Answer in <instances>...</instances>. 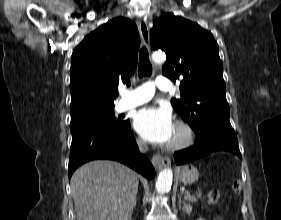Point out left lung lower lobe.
Instances as JSON below:
<instances>
[{"label": "left lung lower lobe", "instance_id": "0a47b994", "mask_svg": "<svg viewBox=\"0 0 281 220\" xmlns=\"http://www.w3.org/2000/svg\"><path fill=\"white\" fill-rule=\"evenodd\" d=\"M194 132L195 144L174 153L177 165L189 163L217 151L231 152L241 158L237 136L231 125L210 124Z\"/></svg>", "mask_w": 281, "mask_h": 220}]
</instances>
